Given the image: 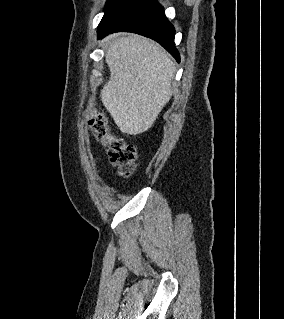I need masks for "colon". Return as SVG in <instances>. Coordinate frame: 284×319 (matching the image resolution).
<instances>
[{
  "label": "colon",
  "mask_w": 284,
  "mask_h": 319,
  "mask_svg": "<svg viewBox=\"0 0 284 319\" xmlns=\"http://www.w3.org/2000/svg\"><path fill=\"white\" fill-rule=\"evenodd\" d=\"M88 125L94 137L106 149L111 164L123 177H130L135 170L137 151L134 145L113 134L108 121L101 115H90Z\"/></svg>",
  "instance_id": "obj_1"
}]
</instances>
